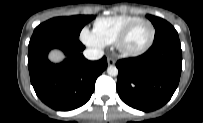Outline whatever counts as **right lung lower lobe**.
Segmentation results:
<instances>
[{
    "label": "right lung lower lobe",
    "instance_id": "obj_1",
    "mask_svg": "<svg viewBox=\"0 0 203 123\" xmlns=\"http://www.w3.org/2000/svg\"><path fill=\"white\" fill-rule=\"evenodd\" d=\"M61 49L67 58L51 63L48 52ZM77 39L46 32L33 33L28 46V68L31 84L42 102L58 111H69L84 105L91 97L97 77L106 69L107 59L88 61Z\"/></svg>",
    "mask_w": 203,
    "mask_h": 123
}]
</instances>
